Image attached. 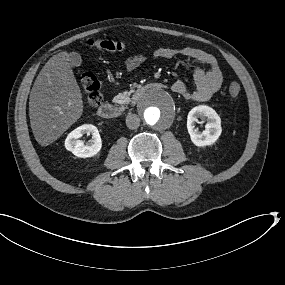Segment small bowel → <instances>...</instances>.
Returning <instances> with one entry per match:
<instances>
[{"mask_svg": "<svg viewBox=\"0 0 285 285\" xmlns=\"http://www.w3.org/2000/svg\"><path fill=\"white\" fill-rule=\"evenodd\" d=\"M157 59H174L182 57L193 66L194 87L189 88L184 82L176 81L171 89L174 93L194 101H206L218 92L223 84V75L216 59L206 51L193 47L179 49L160 47L153 53ZM146 60L144 54L129 56L124 66L127 71H133L140 67Z\"/></svg>", "mask_w": 285, "mask_h": 285, "instance_id": "obj_1", "label": "small bowel"}]
</instances>
